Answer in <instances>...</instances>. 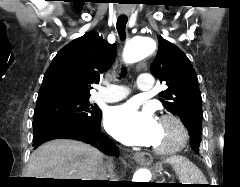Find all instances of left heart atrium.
Listing matches in <instances>:
<instances>
[{"label":"left heart atrium","mask_w":240,"mask_h":187,"mask_svg":"<svg viewBox=\"0 0 240 187\" xmlns=\"http://www.w3.org/2000/svg\"><path fill=\"white\" fill-rule=\"evenodd\" d=\"M104 123L109 134L126 145L151 146L159 132V123L153 114L132 104L110 108Z\"/></svg>","instance_id":"left-heart-atrium-1"}]
</instances>
